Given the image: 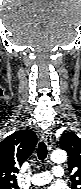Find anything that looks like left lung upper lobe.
Instances as JSON below:
<instances>
[{
    "instance_id": "1",
    "label": "left lung upper lobe",
    "mask_w": 81,
    "mask_h": 189,
    "mask_svg": "<svg viewBox=\"0 0 81 189\" xmlns=\"http://www.w3.org/2000/svg\"><path fill=\"white\" fill-rule=\"evenodd\" d=\"M59 144L68 153L69 171L75 170L70 177L72 189H81V138L74 132H67L61 136Z\"/></svg>"
}]
</instances>
